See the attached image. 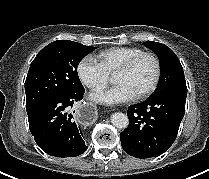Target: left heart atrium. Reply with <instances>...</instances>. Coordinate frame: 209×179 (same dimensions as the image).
<instances>
[{
    "instance_id": "obj_1",
    "label": "left heart atrium",
    "mask_w": 209,
    "mask_h": 179,
    "mask_svg": "<svg viewBox=\"0 0 209 179\" xmlns=\"http://www.w3.org/2000/svg\"><path fill=\"white\" fill-rule=\"evenodd\" d=\"M133 92L123 84H117L112 88L96 92L91 95V98L107 105H115L133 99Z\"/></svg>"
}]
</instances>
